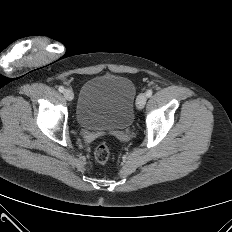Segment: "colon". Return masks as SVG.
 I'll return each mask as SVG.
<instances>
[{"label": "colon", "instance_id": "colon-1", "mask_svg": "<svg viewBox=\"0 0 232 232\" xmlns=\"http://www.w3.org/2000/svg\"><path fill=\"white\" fill-rule=\"evenodd\" d=\"M95 159L100 163H105L109 160L110 149L106 144H100L94 152Z\"/></svg>", "mask_w": 232, "mask_h": 232}]
</instances>
